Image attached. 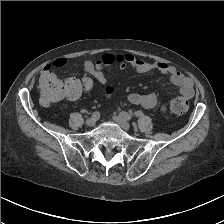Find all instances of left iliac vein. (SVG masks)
<instances>
[{"instance_id": "1", "label": "left iliac vein", "mask_w": 224, "mask_h": 224, "mask_svg": "<svg viewBox=\"0 0 224 224\" xmlns=\"http://www.w3.org/2000/svg\"><path fill=\"white\" fill-rule=\"evenodd\" d=\"M113 120L121 127L123 128L124 130H129L130 129V124L125 120L123 119L122 117L120 116H114L113 117Z\"/></svg>"}]
</instances>
